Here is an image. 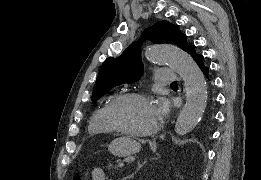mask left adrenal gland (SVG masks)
I'll return each instance as SVG.
<instances>
[{
  "label": "left adrenal gland",
  "mask_w": 261,
  "mask_h": 180,
  "mask_svg": "<svg viewBox=\"0 0 261 180\" xmlns=\"http://www.w3.org/2000/svg\"><path fill=\"white\" fill-rule=\"evenodd\" d=\"M144 164H145V162H144ZM144 164H141V160H138L137 170H136V172H134V174H131V176H128V180H133V178H135V174H137V172H139L140 168H142V166H144Z\"/></svg>",
  "instance_id": "left-adrenal-gland-1"
}]
</instances>
